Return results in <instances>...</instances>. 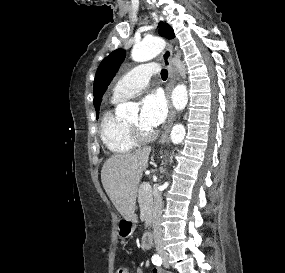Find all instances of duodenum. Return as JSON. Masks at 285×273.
I'll use <instances>...</instances> for the list:
<instances>
[{"instance_id": "1", "label": "duodenum", "mask_w": 285, "mask_h": 273, "mask_svg": "<svg viewBox=\"0 0 285 273\" xmlns=\"http://www.w3.org/2000/svg\"><path fill=\"white\" fill-rule=\"evenodd\" d=\"M152 242V233L151 232H145L142 236V244L144 249L148 250L151 247Z\"/></svg>"}]
</instances>
